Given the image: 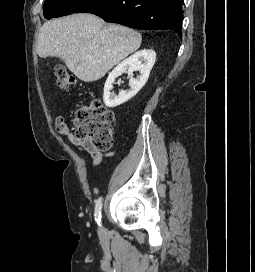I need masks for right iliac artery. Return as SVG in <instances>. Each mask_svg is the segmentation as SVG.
Returning <instances> with one entry per match:
<instances>
[{
    "label": "right iliac artery",
    "instance_id": "1",
    "mask_svg": "<svg viewBox=\"0 0 255 272\" xmlns=\"http://www.w3.org/2000/svg\"><path fill=\"white\" fill-rule=\"evenodd\" d=\"M101 209H102V198H99L95 204V220L99 226L101 225Z\"/></svg>",
    "mask_w": 255,
    "mask_h": 272
}]
</instances>
